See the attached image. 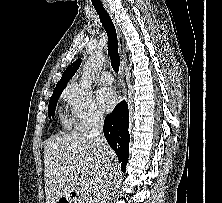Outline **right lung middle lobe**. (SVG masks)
Instances as JSON below:
<instances>
[{
    "label": "right lung middle lobe",
    "mask_w": 222,
    "mask_h": 203,
    "mask_svg": "<svg viewBox=\"0 0 222 203\" xmlns=\"http://www.w3.org/2000/svg\"><path fill=\"white\" fill-rule=\"evenodd\" d=\"M61 93H62V91L53 92V95L50 98L49 105H48V116H49V118L51 116H54V114H55V108H56L57 101H58Z\"/></svg>",
    "instance_id": "1"
}]
</instances>
